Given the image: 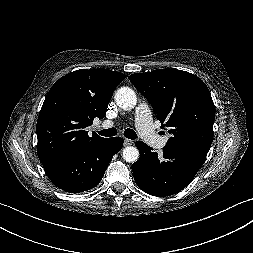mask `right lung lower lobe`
<instances>
[{
	"instance_id": "98d812e1",
	"label": "right lung lower lobe",
	"mask_w": 253,
	"mask_h": 253,
	"mask_svg": "<svg viewBox=\"0 0 253 253\" xmlns=\"http://www.w3.org/2000/svg\"><path fill=\"white\" fill-rule=\"evenodd\" d=\"M122 146V138H106L84 149L60 152L41 162L55 186L66 192L79 193L99 184L113 155Z\"/></svg>"
}]
</instances>
